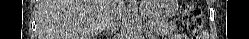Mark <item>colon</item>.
<instances>
[{"label":"colon","mask_w":249,"mask_h":39,"mask_svg":"<svg viewBox=\"0 0 249 39\" xmlns=\"http://www.w3.org/2000/svg\"><path fill=\"white\" fill-rule=\"evenodd\" d=\"M188 3L189 4L184 7L183 15L188 29L194 34V39H197L200 37L199 9L194 1H189Z\"/></svg>","instance_id":"5ec220e1"}]
</instances>
